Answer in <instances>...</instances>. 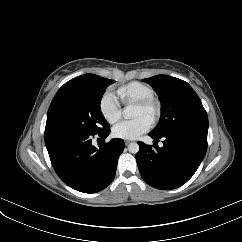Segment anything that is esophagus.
I'll return each mask as SVG.
<instances>
[{
  "mask_svg": "<svg viewBox=\"0 0 242 242\" xmlns=\"http://www.w3.org/2000/svg\"><path fill=\"white\" fill-rule=\"evenodd\" d=\"M130 143V141H125V144L128 145Z\"/></svg>",
  "mask_w": 242,
  "mask_h": 242,
  "instance_id": "obj_1",
  "label": "esophagus"
}]
</instances>
